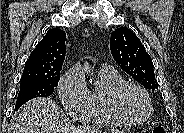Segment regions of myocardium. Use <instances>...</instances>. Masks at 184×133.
Here are the masks:
<instances>
[{
  "label": "myocardium",
  "instance_id": "obj_1",
  "mask_svg": "<svg viewBox=\"0 0 184 133\" xmlns=\"http://www.w3.org/2000/svg\"><path fill=\"white\" fill-rule=\"evenodd\" d=\"M128 89H136L144 97L147 103V112L141 119H131L127 117L121 110L120 101L123 93ZM107 104L112 115L120 122L126 125H140L146 122L152 113V101L149 93L141 85L133 82L124 81L123 83L111 89L107 96Z\"/></svg>",
  "mask_w": 184,
  "mask_h": 133
}]
</instances>
